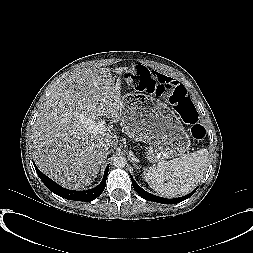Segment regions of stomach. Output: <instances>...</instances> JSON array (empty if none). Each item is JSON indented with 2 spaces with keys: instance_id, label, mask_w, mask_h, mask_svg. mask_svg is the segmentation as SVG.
I'll return each mask as SVG.
<instances>
[{
  "instance_id": "1",
  "label": "stomach",
  "mask_w": 253,
  "mask_h": 253,
  "mask_svg": "<svg viewBox=\"0 0 253 253\" xmlns=\"http://www.w3.org/2000/svg\"><path fill=\"white\" fill-rule=\"evenodd\" d=\"M121 100V123L132 138L148 144L147 160L180 156L189 149V134L165 103L141 94H126Z\"/></svg>"
}]
</instances>
